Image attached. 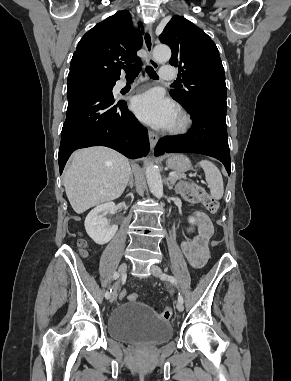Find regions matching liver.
Masks as SVG:
<instances>
[{
  "mask_svg": "<svg viewBox=\"0 0 291 381\" xmlns=\"http://www.w3.org/2000/svg\"><path fill=\"white\" fill-rule=\"evenodd\" d=\"M131 175L129 160L102 146L74 152L63 183L73 210L82 214L104 202L119 198Z\"/></svg>",
  "mask_w": 291,
  "mask_h": 381,
  "instance_id": "6515ba94",
  "label": "liver"
}]
</instances>
